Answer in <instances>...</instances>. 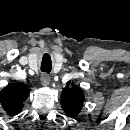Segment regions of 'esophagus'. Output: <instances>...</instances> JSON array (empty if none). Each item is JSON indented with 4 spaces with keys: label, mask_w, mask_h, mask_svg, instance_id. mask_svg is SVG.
Returning <instances> with one entry per match:
<instances>
[{
    "label": "esophagus",
    "mask_w": 130,
    "mask_h": 130,
    "mask_svg": "<svg viewBox=\"0 0 130 130\" xmlns=\"http://www.w3.org/2000/svg\"><path fill=\"white\" fill-rule=\"evenodd\" d=\"M51 78L48 74L44 73L41 76V82L44 86H48L50 84Z\"/></svg>",
    "instance_id": "esophagus-1"
}]
</instances>
